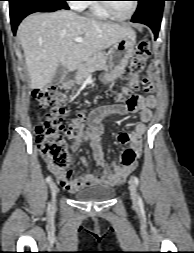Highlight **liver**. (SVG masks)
Instances as JSON below:
<instances>
[{
  "label": "liver",
  "mask_w": 194,
  "mask_h": 253,
  "mask_svg": "<svg viewBox=\"0 0 194 253\" xmlns=\"http://www.w3.org/2000/svg\"><path fill=\"white\" fill-rule=\"evenodd\" d=\"M17 36L24 51L30 87L41 89L52 81L59 66L74 71L81 62L121 38H135V32L125 24L100 22L60 10L29 15L19 25ZM77 37L83 41H74Z\"/></svg>",
  "instance_id": "obj_1"
}]
</instances>
